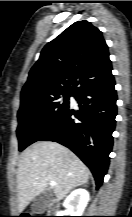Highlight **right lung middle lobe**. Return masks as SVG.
<instances>
[{"label": "right lung middle lobe", "mask_w": 132, "mask_h": 217, "mask_svg": "<svg viewBox=\"0 0 132 217\" xmlns=\"http://www.w3.org/2000/svg\"><path fill=\"white\" fill-rule=\"evenodd\" d=\"M73 93L27 96L21 98L17 136L19 151L38 141L69 107Z\"/></svg>", "instance_id": "dd1d6c3e"}]
</instances>
